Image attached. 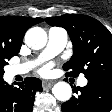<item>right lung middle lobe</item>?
I'll list each match as a JSON object with an SVG mask.
<instances>
[{"label":"right lung middle lobe","mask_w":112,"mask_h":112,"mask_svg":"<svg viewBox=\"0 0 112 112\" xmlns=\"http://www.w3.org/2000/svg\"><path fill=\"white\" fill-rule=\"evenodd\" d=\"M20 47H2L0 46V80L3 79L4 66L7 65V60L17 55Z\"/></svg>","instance_id":"1"}]
</instances>
